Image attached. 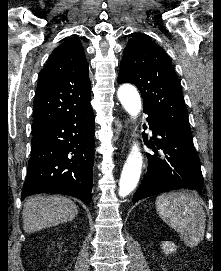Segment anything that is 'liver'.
Here are the masks:
<instances>
[{
	"label": "liver",
	"mask_w": 221,
	"mask_h": 271,
	"mask_svg": "<svg viewBox=\"0 0 221 271\" xmlns=\"http://www.w3.org/2000/svg\"><path fill=\"white\" fill-rule=\"evenodd\" d=\"M78 207L72 199L63 195H34L23 205V227L26 233H34L44 227L72 221Z\"/></svg>",
	"instance_id": "liver-1"
}]
</instances>
